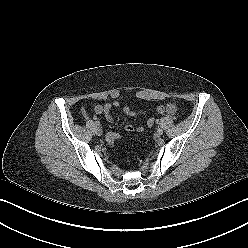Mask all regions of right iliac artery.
I'll list each match as a JSON object with an SVG mask.
<instances>
[{
  "label": "right iliac artery",
  "mask_w": 248,
  "mask_h": 248,
  "mask_svg": "<svg viewBox=\"0 0 248 248\" xmlns=\"http://www.w3.org/2000/svg\"><path fill=\"white\" fill-rule=\"evenodd\" d=\"M95 124H96V126H99L100 125V123L98 121H96Z\"/></svg>",
  "instance_id": "82829eb1"
}]
</instances>
